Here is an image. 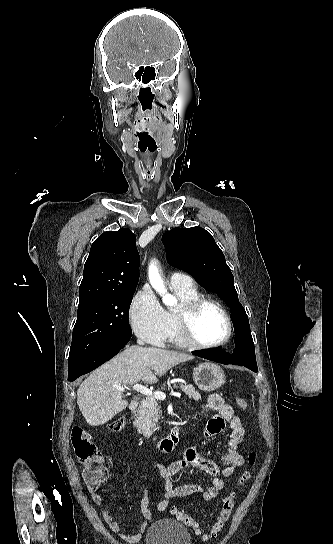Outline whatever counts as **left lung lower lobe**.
Instances as JSON below:
<instances>
[{
	"label": "left lung lower lobe",
	"instance_id": "0a47b994",
	"mask_svg": "<svg viewBox=\"0 0 333 544\" xmlns=\"http://www.w3.org/2000/svg\"><path fill=\"white\" fill-rule=\"evenodd\" d=\"M192 354L223 364L242 365L254 372L258 370L255 357L250 353V350L246 351L244 348L236 349L233 355H229L222 349L198 350L192 352Z\"/></svg>",
	"mask_w": 333,
	"mask_h": 544
}]
</instances>
